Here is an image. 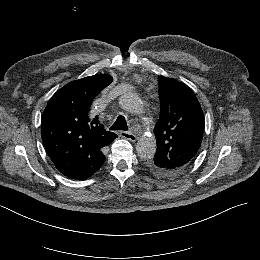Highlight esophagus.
<instances>
[{"mask_svg":"<svg viewBox=\"0 0 260 260\" xmlns=\"http://www.w3.org/2000/svg\"><path fill=\"white\" fill-rule=\"evenodd\" d=\"M120 135H121L123 138H125V139H127V140H130V141H136V139H137V137H136L133 133L127 132V131H122V132H120Z\"/></svg>","mask_w":260,"mask_h":260,"instance_id":"34e87169","label":"esophagus"}]
</instances>
